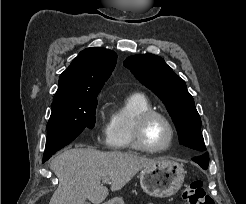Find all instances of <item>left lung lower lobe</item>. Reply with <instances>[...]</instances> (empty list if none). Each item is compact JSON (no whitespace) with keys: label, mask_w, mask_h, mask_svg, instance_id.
Listing matches in <instances>:
<instances>
[{"label":"left lung lower lobe","mask_w":246,"mask_h":204,"mask_svg":"<svg viewBox=\"0 0 246 204\" xmlns=\"http://www.w3.org/2000/svg\"><path fill=\"white\" fill-rule=\"evenodd\" d=\"M192 160L198 163L203 169H206L208 167V154H204L203 156L193 158Z\"/></svg>","instance_id":"obj_1"}]
</instances>
